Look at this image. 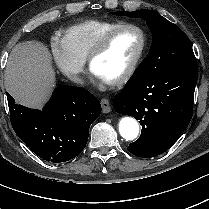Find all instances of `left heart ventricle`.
I'll return each instance as SVG.
<instances>
[{
    "label": "left heart ventricle",
    "instance_id": "obj_1",
    "mask_svg": "<svg viewBox=\"0 0 209 209\" xmlns=\"http://www.w3.org/2000/svg\"><path fill=\"white\" fill-rule=\"evenodd\" d=\"M141 44V37L134 29L117 32L104 52L94 61L92 70L103 80L122 75L130 66Z\"/></svg>",
    "mask_w": 209,
    "mask_h": 209
}]
</instances>
